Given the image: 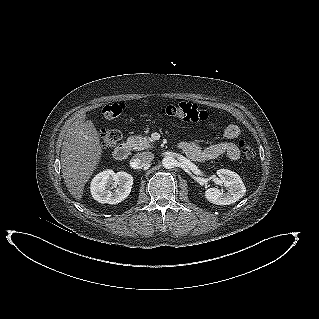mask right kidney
<instances>
[{
  "instance_id": "1",
  "label": "right kidney",
  "mask_w": 319,
  "mask_h": 319,
  "mask_svg": "<svg viewBox=\"0 0 319 319\" xmlns=\"http://www.w3.org/2000/svg\"><path fill=\"white\" fill-rule=\"evenodd\" d=\"M133 177L126 172L115 173L107 169L98 173L91 181L92 197L99 203L118 204L131 192ZM113 188H115L113 190Z\"/></svg>"
}]
</instances>
